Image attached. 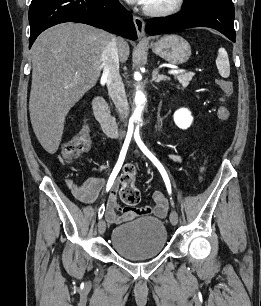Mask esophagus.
Masks as SVG:
<instances>
[{
  "instance_id": "obj_1",
  "label": "esophagus",
  "mask_w": 261,
  "mask_h": 306,
  "mask_svg": "<svg viewBox=\"0 0 261 306\" xmlns=\"http://www.w3.org/2000/svg\"><path fill=\"white\" fill-rule=\"evenodd\" d=\"M134 25L137 31V35L139 39H146L145 37V22L139 16H133Z\"/></svg>"
}]
</instances>
